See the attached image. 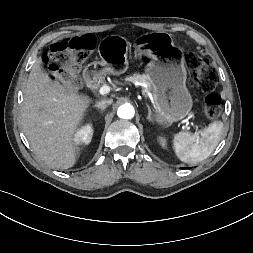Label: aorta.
<instances>
[{
  "instance_id": "1",
  "label": "aorta",
  "mask_w": 253,
  "mask_h": 253,
  "mask_svg": "<svg viewBox=\"0 0 253 253\" xmlns=\"http://www.w3.org/2000/svg\"><path fill=\"white\" fill-rule=\"evenodd\" d=\"M134 108L130 104H123L118 108L117 115L122 119H131L134 117Z\"/></svg>"
}]
</instances>
